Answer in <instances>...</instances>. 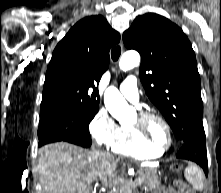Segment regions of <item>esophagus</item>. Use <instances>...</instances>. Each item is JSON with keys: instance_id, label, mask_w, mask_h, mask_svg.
<instances>
[{"instance_id": "obj_1", "label": "esophagus", "mask_w": 221, "mask_h": 193, "mask_svg": "<svg viewBox=\"0 0 221 193\" xmlns=\"http://www.w3.org/2000/svg\"><path fill=\"white\" fill-rule=\"evenodd\" d=\"M120 46L123 47L122 37H121V40H120Z\"/></svg>"}]
</instances>
